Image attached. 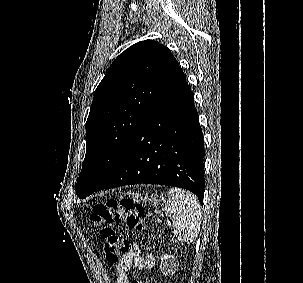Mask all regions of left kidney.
<instances>
[{
    "instance_id": "5707ae66",
    "label": "left kidney",
    "mask_w": 303,
    "mask_h": 283,
    "mask_svg": "<svg viewBox=\"0 0 303 283\" xmlns=\"http://www.w3.org/2000/svg\"><path fill=\"white\" fill-rule=\"evenodd\" d=\"M161 261L163 263H161L160 269L164 275H167L168 273L174 271L176 264H177L174 256L164 255L161 258Z\"/></svg>"
}]
</instances>
